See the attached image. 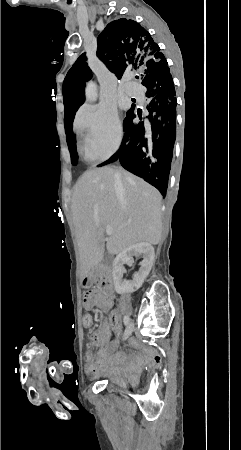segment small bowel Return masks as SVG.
<instances>
[{
    "label": "small bowel",
    "mask_w": 241,
    "mask_h": 450,
    "mask_svg": "<svg viewBox=\"0 0 241 450\" xmlns=\"http://www.w3.org/2000/svg\"><path fill=\"white\" fill-rule=\"evenodd\" d=\"M112 288L110 282L100 283L99 286H92V284H83V289H87L83 295V306L85 309H91L95 306L105 307L112 301ZM91 316V315H90ZM91 327L92 325H84ZM116 335L121 333V321L118 317L111 319L108 322L100 324L93 335L91 341L85 347V361L86 372L91 377H100L111 372H122L126 370H137L140 365V356H125L122 353H114L112 351V344L110 343L111 333ZM94 346H100V355L96 356ZM131 348H139V343L135 339L129 340ZM152 362L154 365L161 363V356L159 353L152 354Z\"/></svg>",
    "instance_id": "small-bowel-1"
}]
</instances>
